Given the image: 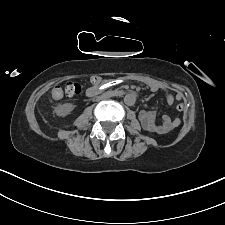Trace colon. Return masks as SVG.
<instances>
[{"mask_svg": "<svg viewBox=\"0 0 225 225\" xmlns=\"http://www.w3.org/2000/svg\"><path fill=\"white\" fill-rule=\"evenodd\" d=\"M104 79L100 76H93L91 78V83L94 85H99L104 83ZM81 87L78 83L74 81H67L63 84V86H57L55 87L52 92H51V98L53 100H60L63 98L64 95L71 97L75 96L78 93H80ZM177 110L178 111H183L184 110V105L182 103H179L177 105Z\"/></svg>", "mask_w": 225, "mask_h": 225, "instance_id": "5ec220e1", "label": "colon"}]
</instances>
